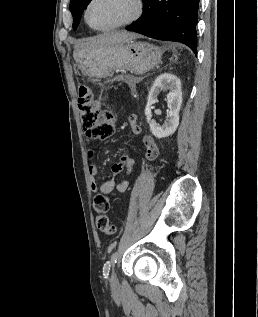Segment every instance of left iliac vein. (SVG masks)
<instances>
[{
	"label": "left iliac vein",
	"instance_id": "obj_1",
	"mask_svg": "<svg viewBox=\"0 0 258 317\" xmlns=\"http://www.w3.org/2000/svg\"><path fill=\"white\" fill-rule=\"evenodd\" d=\"M112 275L115 277L117 275V272L116 271H113L112 272Z\"/></svg>",
	"mask_w": 258,
	"mask_h": 317
}]
</instances>
